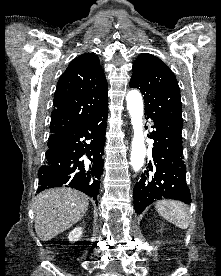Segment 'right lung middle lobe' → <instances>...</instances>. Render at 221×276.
<instances>
[{"instance_id": "right-lung-middle-lobe-1", "label": "right lung middle lobe", "mask_w": 221, "mask_h": 276, "mask_svg": "<svg viewBox=\"0 0 221 276\" xmlns=\"http://www.w3.org/2000/svg\"><path fill=\"white\" fill-rule=\"evenodd\" d=\"M62 138L49 137L48 139V147L57 144Z\"/></svg>"}]
</instances>
